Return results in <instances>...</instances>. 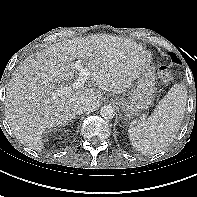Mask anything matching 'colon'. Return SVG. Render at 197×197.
<instances>
[{
    "label": "colon",
    "instance_id": "obj_1",
    "mask_svg": "<svg viewBox=\"0 0 197 197\" xmlns=\"http://www.w3.org/2000/svg\"><path fill=\"white\" fill-rule=\"evenodd\" d=\"M159 76L163 81H169L172 77L170 70L165 66L159 68Z\"/></svg>",
    "mask_w": 197,
    "mask_h": 197
}]
</instances>
